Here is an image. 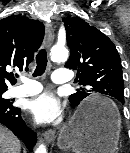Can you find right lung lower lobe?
I'll list each match as a JSON object with an SVG mask.
<instances>
[{
    "mask_svg": "<svg viewBox=\"0 0 130 153\" xmlns=\"http://www.w3.org/2000/svg\"><path fill=\"white\" fill-rule=\"evenodd\" d=\"M0 123L19 136L30 151L33 150L37 136L22 120L21 109L13 107L12 102H0Z\"/></svg>",
    "mask_w": 130,
    "mask_h": 153,
    "instance_id": "right-lung-lower-lobe-1",
    "label": "right lung lower lobe"
}]
</instances>
